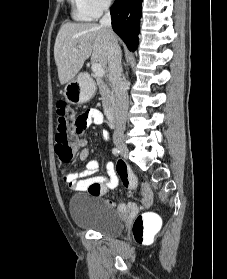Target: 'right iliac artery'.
I'll return each mask as SVG.
<instances>
[{"mask_svg": "<svg viewBox=\"0 0 227 279\" xmlns=\"http://www.w3.org/2000/svg\"><path fill=\"white\" fill-rule=\"evenodd\" d=\"M112 153H113L114 155H119L120 151H119L117 148H113V149H112Z\"/></svg>", "mask_w": 227, "mask_h": 279, "instance_id": "obj_1", "label": "right iliac artery"}]
</instances>
